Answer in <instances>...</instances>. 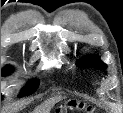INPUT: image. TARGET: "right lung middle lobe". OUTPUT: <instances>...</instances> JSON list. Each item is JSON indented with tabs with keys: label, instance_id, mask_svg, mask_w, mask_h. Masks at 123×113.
<instances>
[{
	"label": "right lung middle lobe",
	"instance_id": "right-lung-middle-lobe-1",
	"mask_svg": "<svg viewBox=\"0 0 123 113\" xmlns=\"http://www.w3.org/2000/svg\"><path fill=\"white\" fill-rule=\"evenodd\" d=\"M8 69V67H6ZM7 72V71H5ZM39 82L37 80H31L28 82L27 86L21 91V96L30 95L36 91Z\"/></svg>",
	"mask_w": 123,
	"mask_h": 113
}]
</instances>
